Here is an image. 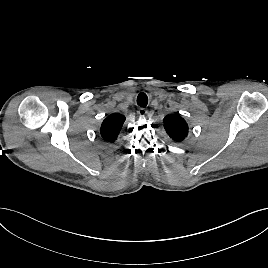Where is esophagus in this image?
I'll list each match as a JSON object with an SVG mask.
<instances>
[{
  "instance_id": "obj_1",
  "label": "esophagus",
  "mask_w": 268,
  "mask_h": 268,
  "mask_svg": "<svg viewBox=\"0 0 268 268\" xmlns=\"http://www.w3.org/2000/svg\"><path fill=\"white\" fill-rule=\"evenodd\" d=\"M137 114L140 117H144L147 114V110L145 108H139L138 111H137Z\"/></svg>"
}]
</instances>
